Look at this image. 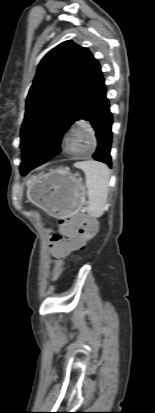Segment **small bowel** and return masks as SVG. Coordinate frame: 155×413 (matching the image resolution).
Returning a JSON list of instances; mask_svg holds the SVG:
<instances>
[{
    "instance_id": "small-bowel-1",
    "label": "small bowel",
    "mask_w": 155,
    "mask_h": 413,
    "mask_svg": "<svg viewBox=\"0 0 155 413\" xmlns=\"http://www.w3.org/2000/svg\"><path fill=\"white\" fill-rule=\"evenodd\" d=\"M63 227V226H62ZM63 230L66 232V233H68L64 228H63Z\"/></svg>"
}]
</instances>
